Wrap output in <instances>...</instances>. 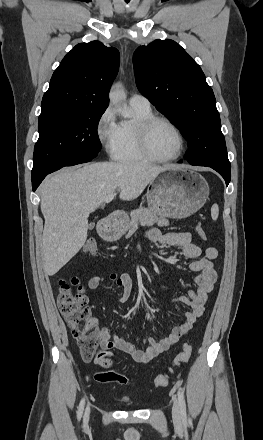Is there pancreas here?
I'll list each match as a JSON object with an SVG mask.
<instances>
[{"mask_svg": "<svg viewBox=\"0 0 263 440\" xmlns=\"http://www.w3.org/2000/svg\"><path fill=\"white\" fill-rule=\"evenodd\" d=\"M130 217L131 220L128 224L129 232L127 236L132 235L138 229L139 224L141 226H152L155 223L158 226H167L169 224V221L166 218L157 216L151 210L144 207L132 211Z\"/></svg>", "mask_w": 263, "mask_h": 440, "instance_id": "pancreas-1", "label": "pancreas"}]
</instances>
